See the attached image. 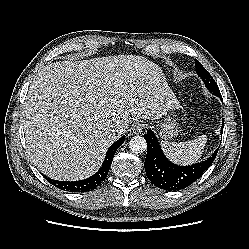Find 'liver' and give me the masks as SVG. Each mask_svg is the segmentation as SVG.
Masks as SVG:
<instances>
[{
    "instance_id": "1",
    "label": "liver",
    "mask_w": 249,
    "mask_h": 249,
    "mask_svg": "<svg viewBox=\"0 0 249 249\" xmlns=\"http://www.w3.org/2000/svg\"><path fill=\"white\" fill-rule=\"evenodd\" d=\"M173 96L162 69L143 56L116 55L45 66L29 86L22 125L27 151L46 176L88 178L134 120H156ZM121 134V135H122Z\"/></svg>"
}]
</instances>
